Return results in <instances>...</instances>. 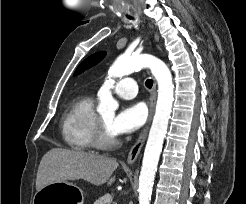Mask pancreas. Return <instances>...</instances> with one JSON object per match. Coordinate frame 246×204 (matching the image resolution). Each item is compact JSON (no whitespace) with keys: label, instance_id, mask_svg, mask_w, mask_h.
Here are the masks:
<instances>
[{"label":"pancreas","instance_id":"1","mask_svg":"<svg viewBox=\"0 0 246 204\" xmlns=\"http://www.w3.org/2000/svg\"><path fill=\"white\" fill-rule=\"evenodd\" d=\"M112 197L109 194H105L98 198L94 204H111Z\"/></svg>","mask_w":246,"mask_h":204}]
</instances>
